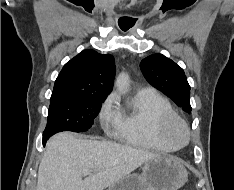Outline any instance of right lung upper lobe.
Wrapping results in <instances>:
<instances>
[{"label": "right lung upper lobe", "instance_id": "1", "mask_svg": "<svg viewBox=\"0 0 234 190\" xmlns=\"http://www.w3.org/2000/svg\"><path fill=\"white\" fill-rule=\"evenodd\" d=\"M114 76L115 62L110 54L84 50L64 65L53 92L105 99L112 90Z\"/></svg>", "mask_w": 234, "mask_h": 190}]
</instances>
